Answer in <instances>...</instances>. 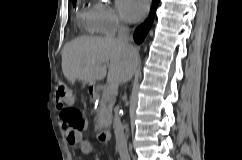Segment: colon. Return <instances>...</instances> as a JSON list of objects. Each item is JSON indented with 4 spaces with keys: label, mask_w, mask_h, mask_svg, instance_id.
I'll list each match as a JSON object with an SVG mask.
<instances>
[{
    "label": "colon",
    "mask_w": 242,
    "mask_h": 160,
    "mask_svg": "<svg viewBox=\"0 0 242 160\" xmlns=\"http://www.w3.org/2000/svg\"><path fill=\"white\" fill-rule=\"evenodd\" d=\"M56 105L61 109V118L76 131L82 129L85 119L80 110L70 106L72 93L64 81H59L56 85Z\"/></svg>",
    "instance_id": "obj_1"
}]
</instances>
